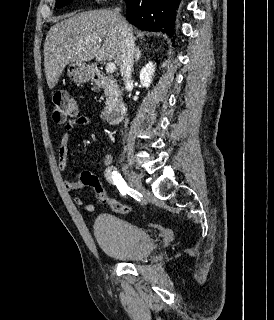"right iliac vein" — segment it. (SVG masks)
<instances>
[{"label": "right iliac vein", "mask_w": 274, "mask_h": 320, "mask_svg": "<svg viewBox=\"0 0 274 320\" xmlns=\"http://www.w3.org/2000/svg\"><path fill=\"white\" fill-rule=\"evenodd\" d=\"M123 170L125 175L127 176L130 186L139 193L145 194L146 190L142 185L139 175L133 170H130L127 165L124 166Z\"/></svg>", "instance_id": "1"}]
</instances>
